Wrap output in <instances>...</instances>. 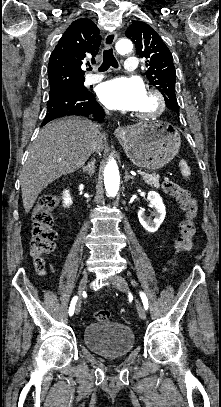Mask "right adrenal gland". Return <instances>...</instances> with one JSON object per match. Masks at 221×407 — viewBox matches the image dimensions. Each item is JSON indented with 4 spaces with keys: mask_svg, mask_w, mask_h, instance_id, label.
Listing matches in <instances>:
<instances>
[{
    "mask_svg": "<svg viewBox=\"0 0 221 407\" xmlns=\"http://www.w3.org/2000/svg\"><path fill=\"white\" fill-rule=\"evenodd\" d=\"M83 171L87 173L90 177L94 174L95 172V159L93 158L90 163H88L86 166L83 167Z\"/></svg>",
    "mask_w": 221,
    "mask_h": 407,
    "instance_id": "obj_1",
    "label": "right adrenal gland"
}]
</instances>
